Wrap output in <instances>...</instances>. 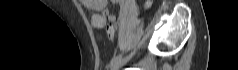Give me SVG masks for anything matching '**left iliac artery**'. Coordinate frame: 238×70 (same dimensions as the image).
<instances>
[{
    "mask_svg": "<svg viewBox=\"0 0 238 70\" xmlns=\"http://www.w3.org/2000/svg\"><path fill=\"white\" fill-rule=\"evenodd\" d=\"M141 33H142V31L138 32L136 34V37L133 38V41L129 42V45L124 50L125 52L134 50V48H135L134 46H136V44H137L136 42L140 41ZM121 58H122V54H118V55L114 56L110 62V65L113 66L114 64L118 63L121 60Z\"/></svg>",
    "mask_w": 238,
    "mask_h": 70,
    "instance_id": "left-iliac-artery-1",
    "label": "left iliac artery"
}]
</instances>
